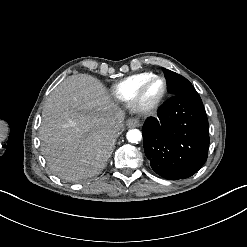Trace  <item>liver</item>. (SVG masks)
Instances as JSON below:
<instances>
[{"mask_svg": "<svg viewBox=\"0 0 247 247\" xmlns=\"http://www.w3.org/2000/svg\"><path fill=\"white\" fill-rule=\"evenodd\" d=\"M126 113L97 78L78 74L64 79L49 95L39 127L41 151L52 172L76 182L97 175L110 156Z\"/></svg>", "mask_w": 247, "mask_h": 247, "instance_id": "6515ba94", "label": "liver"}]
</instances>
